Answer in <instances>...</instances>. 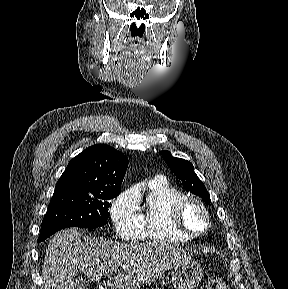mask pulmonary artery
<instances>
[{
    "label": "pulmonary artery",
    "mask_w": 288,
    "mask_h": 289,
    "mask_svg": "<svg viewBox=\"0 0 288 289\" xmlns=\"http://www.w3.org/2000/svg\"><path fill=\"white\" fill-rule=\"evenodd\" d=\"M163 178L160 176L155 177V179L153 181H158V180H162Z\"/></svg>",
    "instance_id": "1"
}]
</instances>
